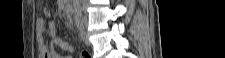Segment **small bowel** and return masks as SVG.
Listing matches in <instances>:
<instances>
[{"label": "small bowel", "instance_id": "obj_1", "mask_svg": "<svg viewBox=\"0 0 225 58\" xmlns=\"http://www.w3.org/2000/svg\"><path fill=\"white\" fill-rule=\"evenodd\" d=\"M38 25L40 28H44L45 22L43 19L38 20ZM47 28L49 30L50 36L52 38L51 47L48 49L47 46H40V53L43 58H69V56H63L57 53L55 47H59L63 51H66L69 54L74 53L75 48L72 44L68 43L61 39L56 33V27L53 21L47 23Z\"/></svg>", "mask_w": 225, "mask_h": 58}]
</instances>
